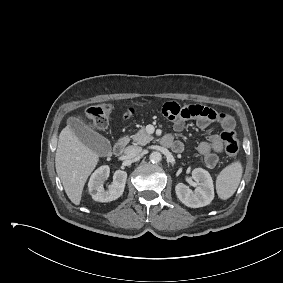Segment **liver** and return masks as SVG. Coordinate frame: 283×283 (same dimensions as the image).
Listing matches in <instances>:
<instances>
[{
    "mask_svg": "<svg viewBox=\"0 0 283 283\" xmlns=\"http://www.w3.org/2000/svg\"><path fill=\"white\" fill-rule=\"evenodd\" d=\"M98 161L99 155L79 140L68 123L59 135L55 167L68 198L75 205L80 204L84 185Z\"/></svg>",
    "mask_w": 283,
    "mask_h": 283,
    "instance_id": "liver-1",
    "label": "liver"
}]
</instances>
